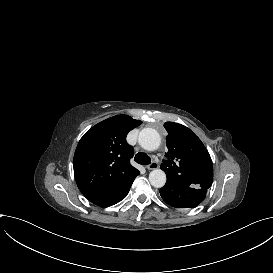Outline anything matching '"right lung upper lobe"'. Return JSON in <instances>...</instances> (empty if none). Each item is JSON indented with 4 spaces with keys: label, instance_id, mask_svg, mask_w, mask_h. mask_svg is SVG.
<instances>
[{
    "label": "right lung upper lobe",
    "instance_id": "obj_1",
    "mask_svg": "<svg viewBox=\"0 0 273 273\" xmlns=\"http://www.w3.org/2000/svg\"><path fill=\"white\" fill-rule=\"evenodd\" d=\"M142 122L127 115L108 118L89 129L74 154V175L79 190L92 203L107 207L121 201L140 172L131 166L130 130Z\"/></svg>",
    "mask_w": 273,
    "mask_h": 273
}]
</instances>
